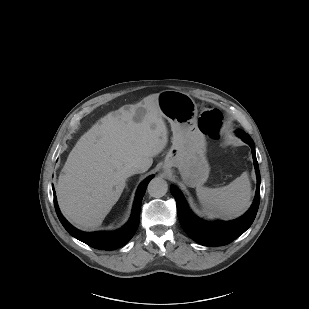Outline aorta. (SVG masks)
Instances as JSON below:
<instances>
[{
    "label": "aorta",
    "mask_w": 309,
    "mask_h": 309,
    "mask_svg": "<svg viewBox=\"0 0 309 309\" xmlns=\"http://www.w3.org/2000/svg\"><path fill=\"white\" fill-rule=\"evenodd\" d=\"M147 190L150 196L160 198L167 193L168 184L164 179L155 177L149 182Z\"/></svg>",
    "instance_id": "aorta-1"
}]
</instances>
